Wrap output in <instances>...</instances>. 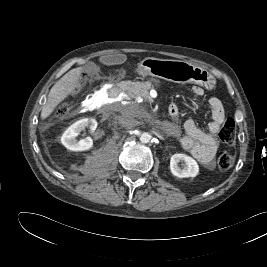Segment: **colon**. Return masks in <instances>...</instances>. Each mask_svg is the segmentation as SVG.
I'll return each instance as SVG.
<instances>
[{
    "mask_svg": "<svg viewBox=\"0 0 267 267\" xmlns=\"http://www.w3.org/2000/svg\"><path fill=\"white\" fill-rule=\"evenodd\" d=\"M71 107L68 103L61 104L56 109V116L59 118L66 117L70 113ZM220 139L228 145H233L236 139V123L232 118L226 119L223 123L220 133ZM234 164V156L229 152H223L218 157L217 165L221 171L229 170Z\"/></svg>",
    "mask_w": 267,
    "mask_h": 267,
    "instance_id": "obj_1",
    "label": "colon"
}]
</instances>
